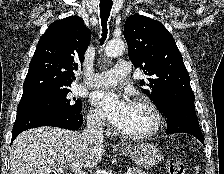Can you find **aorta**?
Segmentation results:
<instances>
[{
    "mask_svg": "<svg viewBox=\"0 0 224 174\" xmlns=\"http://www.w3.org/2000/svg\"><path fill=\"white\" fill-rule=\"evenodd\" d=\"M104 51L108 57H116L125 51V43L121 39H113L108 42Z\"/></svg>",
    "mask_w": 224,
    "mask_h": 174,
    "instance_id": "762f6f07",
    "label": "aorta"
}]
</instances>
